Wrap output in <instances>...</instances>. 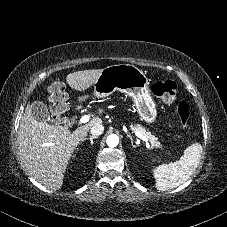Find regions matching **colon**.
Wrapping results in <instances>:
<instances>
[{
    "mask_svg": "<svg viewBox=\"0 0 227 227\" xmlns=\"http://www.w3.org/2000/svg\"><path fill=\"white\" fill-rule=\"evenodd\" d=\"M48 99L51 115L61 118L67 110L66 91L63 82L53 79L48 83ZM153 94L165 103H172L177 94V85L171 80L158 81L152 85ZM175 112L182 126L187 127L190 118L189 104L179 101L175 104Z\"/></svg>",
    "mask_w": 227,
    "mask_h": 227,
    "instance_id": "colon-1",
    "label": "colon"
}]
</instances>
